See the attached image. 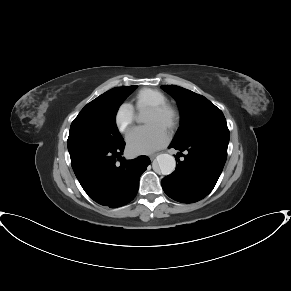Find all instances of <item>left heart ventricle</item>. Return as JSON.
Wrapping results in <instances>:
<instances>
[{"label": "left heart ventricle", "instance_id": "b2bd125f", "mask_svg": "<svg viewBox=\"0 0 291 291\" xmlns=\"http://www.w3.org/2000/svg\"><path fill=\"white\" fill-rule=\"evenodd\" d=\"M144 123L149 125V124H158L162 127L165 128V120L163 117L151 110H147L145 114V120Z\"/></svg>", "mask_w": 291, "mask_h": 291}]
</instances>
